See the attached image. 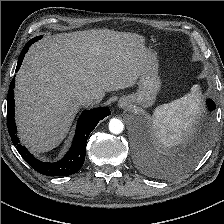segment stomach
I'll return each mask as SVG.
<instances>
[{
  "label": "stomach",
  "mask_w": 224,
  "mask_h": 224,
  "mask_svg": "<svg viewBox=\"0 0 224 224\" xmlns=\"http://www.w3.org/2000/svg\"><path fill=\"white\" fill-rule=\"evenodd\" d=\"M137 85V92L127 96L130 103L133 106H151L161 87V81L158 75V61L155 54L149 52L143 70L139 75Z\"/></svg>",
  "instance_id": "1"
}]
</instances>
